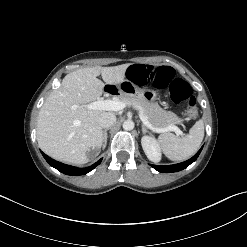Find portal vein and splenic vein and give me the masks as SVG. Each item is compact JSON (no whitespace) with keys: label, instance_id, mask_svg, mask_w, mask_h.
Masks as SVG:
<instances>
[{"label":"portal vein and splenic vein","instance_id":"portal-vein-and-splenic-vein-1","mask_svg":"<svg viewBox=\"0 0 247 247\" xmlns=\"http://www.w3.org/2000/svg\"><path fill=\"white\" fill-rule=\"evenodd\" d=\"M126 105L127 104L122 101L97 100L95 102L89 103L88 105H86V107L91 110L98 109V110H106V111H119L124 109ZM139 117L144 125H146L149 129H151L156 133L173 131L178 136L183 135V132L176 125L171 124L163 128H156L148 121L147 117L142 112L139 113Z\"/></svg>","mask_w":247,"mask_h":247}]
</instances>
